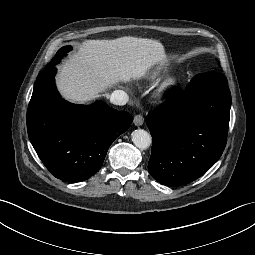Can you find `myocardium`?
Returning a JSON list of instances; mask_svg holds the SVG:
<instances>
[{
    "label": "myocardium",
    "mask_w": 255,
    "mask_h": 255,
    "mask_svg": "<svg viewBox=\"0 0 255 255\" xmlns=\"http://www.w3.org/2000/svg\"><path fill=\"white\" fill-rule=\"evenodd\" d=\"M173 84H174V82L172 80L168 81L161 89L158 90V92L156 93V97L163 98L167 94V92L169 91V89L172 87Z\"/></svg>",
    "instance_id": "obj_1"
}]
</instances>
